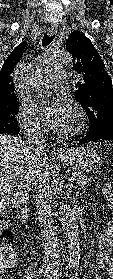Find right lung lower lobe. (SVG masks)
<instances>
[{
    "mask_svg": "<svg viewBox=\"0 0 113 279\" xmlns=\"http://www.w3.org/2000/svg\"><path fill=\"white\" fill-rule=\"evenodd\" d=\"M19 132H20V130H18V131H12V132H10V133H8V134H10V135H12V136H16V135L19 134Z\"/></svg>",
    "mask_w": 113,
    "mask_h": 279,
    "instance_id": "1",
    "label": "right lung lower lobe"
}]
</instances>
